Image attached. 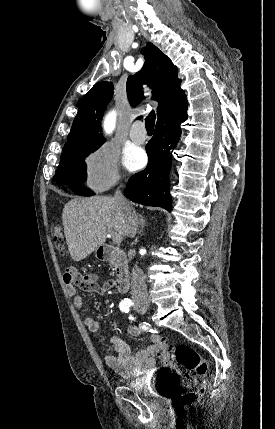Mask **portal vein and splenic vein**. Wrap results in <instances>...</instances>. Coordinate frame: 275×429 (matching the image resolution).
Returning a JSON list of instances; mask_svg holds the SVG:
<instances>
[{
  "label": "portal vein and splenic vein",
  "mask_w": 275,
  "mask_h": 429,
  "mask_svg": "<svg viewBox=\"0 0 275 429\" xmlns=\"http://www.w3.org/2000/svg\"><path fill=\"white\" fill-rule=\"evenodd\" d=\"M111 236H112L113 242L115 244H120L121 243L122 238H121V236L119 234H113V233H111Z\"/></svg>",
  "instance_id": "obj_1"
}]
</instances>
